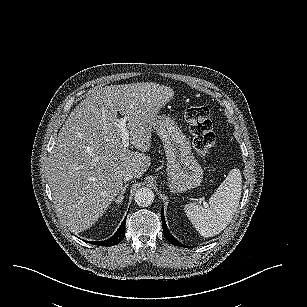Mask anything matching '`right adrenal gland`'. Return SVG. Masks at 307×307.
<instances>
[{
	"label": "right adrenal gland",
	"mask_w": 307,
	"mask_h": 307,
	"mask_svg": "<svg viewBox=\"0 0 307 307\" xmlns=\"http://www.w3.org/2000/svg\"><path fill=\"white\" fill-rule=\"evenodd\" d=\"M129 186L128 183H126L123 187H122V190L121 192L117 195L116 198H114V202L115 203H118V204H121L122 201L124 200V194L126 192V188Z\"/></svg>",
	"instance_id": "1"
}]
</instances>
